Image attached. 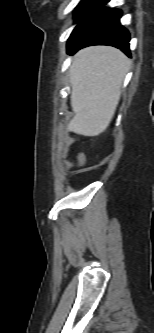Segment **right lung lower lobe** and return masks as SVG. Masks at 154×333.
I'll return each mask as SVG.
<instances>
[{
    "label": "right lung lower lobe",
    "mask_w": 154,
    "mask_h": 333,
    "mask_svg": "<svg viewBox=\"0 0 154 333\" xmlns=\"http://www.w3.org/2000/svg\"><path fill=\"white\" fill-rule=\"evenodd\" d=\"M109 0H103L88 20L70 36L67 49L73 54L90 45H110L130 55L128 31L121 26L120 10L104 7Z\"/></svg>",
    "instance_id": "98d812e1"
}]
</instances>
